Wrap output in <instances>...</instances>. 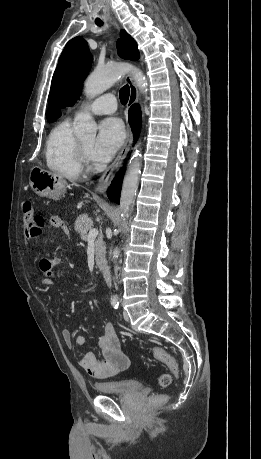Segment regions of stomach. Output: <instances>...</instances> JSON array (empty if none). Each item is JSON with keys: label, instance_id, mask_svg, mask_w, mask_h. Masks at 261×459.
I'll return each instance as SVG.
<instances>
[{"label": "stomach", "instance_id": "stomach-1", "mask_svg": "<svg viewBox=\"0 0 261 459\" xmlns=\"http://www.w3.org/2000/svg\"><path fill=\"white\" fill-rule=\"evenodd\" d=\"M29 184L37 195L53 200L60 198L66 190V181L62 176L40 167L32 168Z\"/></svg>", "mask_w": 261, "mask_h": 459}]
</instances>
